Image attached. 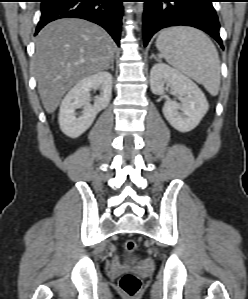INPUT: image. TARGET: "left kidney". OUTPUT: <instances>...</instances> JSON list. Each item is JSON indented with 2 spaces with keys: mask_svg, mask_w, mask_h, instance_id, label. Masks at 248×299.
Returning a JSON list of instances; mask_svg holds the SVG:
<instances>
[{
  "mask_svg": "<svg viewBox=\"0 0 248 299\" xmlns=\"http://www.w3.org/2000/svg\"><path fill=\"white\" fill-rule=\"evenodd\" d=\"M150 86L154 94H164L170 87L174 94L184 96V103L167 100L162 109L166 120L180 132L193 130L208 111L209 105L201 89L188 77L171 68L158 63L150 72Z\"/></svg>",
  "mask_w": 248,
  "mask_h": 299,
  "instance_id": "obj_1",
  "label": "left kidney"
}]
</instances>
